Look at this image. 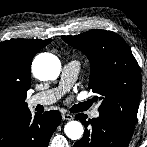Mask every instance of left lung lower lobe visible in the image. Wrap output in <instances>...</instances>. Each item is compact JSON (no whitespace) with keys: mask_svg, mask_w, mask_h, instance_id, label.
<instances>
[{"mask_svg":"<svg viewBox=\"0 0 147 147\" xmlns=\"http://www.w3.org/2000/svg\"><path fill=\"white\" fill-rule=\"evenodd\" d=\"M85 126V132L74 147H127L133 130L113 118L99 115L86 121L85 114L75 116Z\"/></svg>","mask_w":147,"mask_h":147,"instance_id":"1","label":"left lung lower lobe"}]
</instances>
